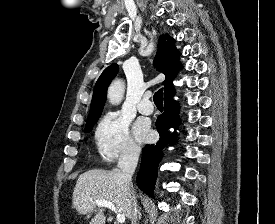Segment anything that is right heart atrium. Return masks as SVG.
Returning a JSON list of instances; mask_svg holds the SVG:
<instances>
[{
	"instance_id": "obj_1",
	"label": "right heart atrium",
	"mask_w": 275,
	"mask_h": 224,
	"mask_svg": "<svg viewBox=\"0 0 275 224\" xmlns=\"http://www.w3.org/2000/svg\"><path fill=\"white\" fill-rule=\"evenodd\" d=\"M94 139L98 152L108 162L133 159L140 152L131 136L128 119L118 112L103 116L96 127Z\"/></svg>"
}]
</instances>
